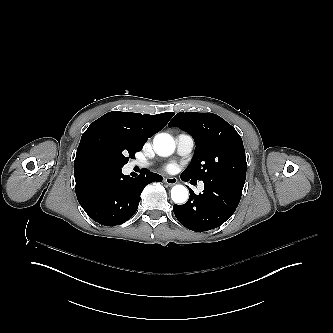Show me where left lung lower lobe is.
Here are the masks:
<instances>
[{
	"mask_svg": "<svg viewBox=\"0 0 333 333\" xmlns=\"http://www.w3.org/2000/svg\"><path fill=\"white\" fill-rule=\"evenodd\" d=\"M184 181H195L181 174ZM245 181L220 178L204 183L203 194L196 195L189 189L190 197L184 205H174L178 221L192 231H208L223 224L235 212Z\"/></svg>",
	"mask_w": 333,
	"mask_h": 333,
	"instance_id": "1",
	"label": "left lung lower lobe"
}]
</instances>
